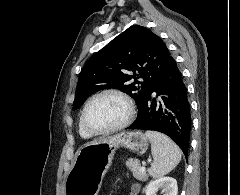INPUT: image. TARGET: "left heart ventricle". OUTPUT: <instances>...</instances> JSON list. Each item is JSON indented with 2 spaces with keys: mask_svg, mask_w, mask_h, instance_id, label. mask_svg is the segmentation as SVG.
Instances as JSON below:
<instances>
[{
  "mask_svg": "<svg viewBox=\"0 0 240 195\" xmlns=\"http://www.w3.org/2000/svg\"><path fill=\"white\" fill-rule=\"evenodd\" d=\"M127 113L125 102L117 96H104L93 102L86 113V125L93 130H103L120 123Z\"/></svg>",
  "mask_w": 240,
  "mask_h": 195,
  "instance_id": "obj_1",
  "label": "left heart ventricle"
}]
</instances>
